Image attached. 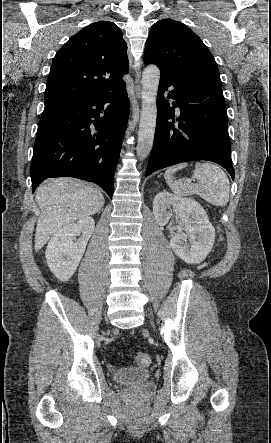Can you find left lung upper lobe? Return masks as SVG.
Here are the masks:
<instances>
[{"instance_id":"left-lung-upper-lobe-1","label":"left lung upper lobe","mask_w":271,"mask_h":443,"mask_svg":"<svg viewBox=\"0 0 271 443\" xmlns=\"http://www.w3.org/2000/svg\"><path fill=\"white\" fill-rule=\"evenodd\" d=\"M145 60L220 82L217 64L208 48L191 29L175 20L163 19L152 26L145 45Z\"/></svg>"}]
</instances>
